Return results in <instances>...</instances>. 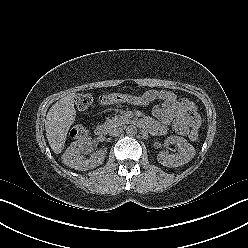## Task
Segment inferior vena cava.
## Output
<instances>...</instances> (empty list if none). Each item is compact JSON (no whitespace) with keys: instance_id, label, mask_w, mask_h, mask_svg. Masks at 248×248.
<instances>
[{"instance_id":"1","label":"inferior vena cava","mask_w":248,"mask_h":248,"mask_svg":"<svg viewBox=\"0 0 248 248\" xmlns=\"http://www.w3.org/2000/svg\"><path fill=\"white\" fill-rule=\"evenodd\" d=\"M123 129L122 127H117V128H114L110 131V135L111 136H118L122 133Z\"/></svg>"}]
</instances>
